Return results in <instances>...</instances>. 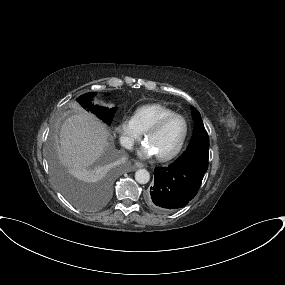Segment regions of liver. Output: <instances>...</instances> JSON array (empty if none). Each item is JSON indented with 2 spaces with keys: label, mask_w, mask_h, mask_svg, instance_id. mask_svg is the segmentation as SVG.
Returning a JSON list of instances; mask_svg holds the SVG:
<instances>
[{
  "label": "liver",
  "mask_w": 285,
  "mask_h": 285,
  "mask_svg": "<svg viewBox=\"0 0 285 285\" xmlns=\"http://www.w3.org/2000/svg\"><path fill=\"white\" fill-rule=\"evenodd\" d=\"M110 131L90 112L77 109L67 117L60 130L58 153L62 164L82 178L108 146Z\"/></svg>",
  "instance_id": "6515ba94"
}]
</instances>
